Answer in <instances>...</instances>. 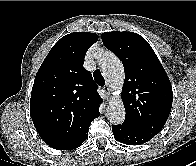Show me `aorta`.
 <instances>
[{
    "instance_id": "aorta-1",
    "label": "aorta",
    "mask_w": 196,
    "mask_h": 166,
    "mask_svg": "<svg viewBox=\"0 0 196 166\" xmlns=\"http://www.w3.org/2000/svg\"><path fill=\"white\" fill-rule=\"evenodd\" d=\"M100 68L109 86L115 91H121L125 74L122 62L112 52H105L99 60ZM107 119L113 124H122L125 119V108L119 96L107 104Z\"/></svg>"
}]
</instances>
